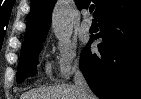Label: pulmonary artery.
I'll return each instance as SVG.
<instances>
[{
    "label": "pulmonary artery",
    "mask_w": 141,
    "mask_h": 99,
    "mask_svg": "<svg viewBox=\"0 0 141 99\" xmlns=\"http://www.w3.org/2000/svg\"><path fill=\"white\" fill-rule=\"evenodd\" d=\"M84 15V20L81 24V28L84 30V31H89V29L91 28V25H92V20L91 18L89 17V13L87 11H85L83 13Z\"/></svg>",
    "instance_id": "1"
}]
</instances>
